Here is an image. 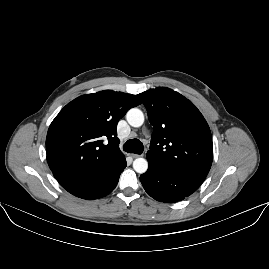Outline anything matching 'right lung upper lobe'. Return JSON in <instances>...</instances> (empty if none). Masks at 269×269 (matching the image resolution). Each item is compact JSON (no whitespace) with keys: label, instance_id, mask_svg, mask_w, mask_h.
I'll return each mask as SVG.
<instances>
[{"label":"right lung upper lobe","instance_id":"cb5924a9","mask_svg":"<svg viewBox=\"0 0 269 269\" xmlns=\"http://www.w3.org/2000/svg\"><path fill=\"white\" fill-rule=\"evenodd\" d=\"M139 104L135 95L112 90L82 95L68 103L47 133V161L53 175L99 169L122 155L117 123Z\"/></svg>","mask_w":269,"mask_h":269}]
</instances>
